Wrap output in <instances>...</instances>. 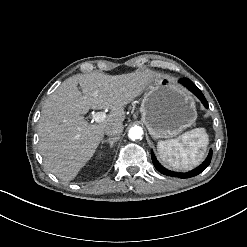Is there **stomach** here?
Listing matches in <instances>:
<instances>
[{"label":"stomach","mask_w":247,"mask_h":247,"mask_svg":"<svg viewBox=\"0 0 247 247\" xmlns=\"http://www.w3.org/2000/svg\"><path fill=\"white\" fill-rule=\"evenodd\" d=\"M141 112L153 138L176 137L197 120L195 98L170 75L152 80L142 100Z\"/></svg>","instance_id":"1"}]
</instances>
